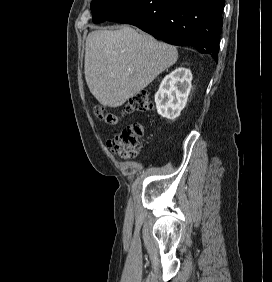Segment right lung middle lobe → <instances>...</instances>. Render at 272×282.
<instances>
[{
    "mask_svg": "<svg viewBox=\"0 0 272 282\" xmlns=\"http://www.w3.org/2000/svg\"><path fill=\"white\" fill-rule=\"evenodd\" d=\"M135 1L136 0H93L91 3L93 22L97 24L109 20Z\"/></svg>",
    "mask_w": 272,
    "mask_h": 282,
    "instance_id": "1",
    "label": "right lung middle lobe"
}]
</instances>
